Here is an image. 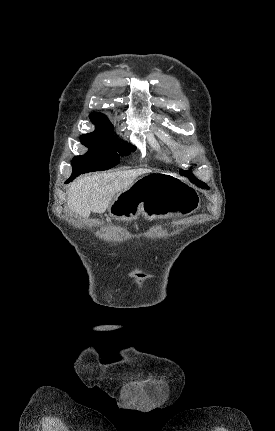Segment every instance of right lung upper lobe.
<instances>
[{"label":"right lung upper lobe","instance_id":"obj_1","mask_svg":"<svg viewBox=\"0 0 275 431\" xmlns=\"http://www.w3.org/2000/svg\"><path fill=\"white\" fill-rule=\"evenodd\" d=\"M90 119L92 120V122H93L94 124H99V123H106V122H108L107 118H106L103 114H101V113H97V112L92 113V114L90 115Z\"/></svg>","mask_w":275,"mask_h":431}]
</instances>
